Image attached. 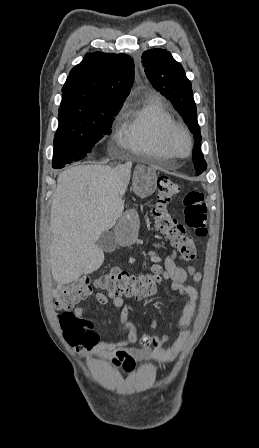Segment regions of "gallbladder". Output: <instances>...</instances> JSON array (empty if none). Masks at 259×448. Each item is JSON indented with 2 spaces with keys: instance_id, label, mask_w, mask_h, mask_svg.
I'll return each instance as SVG.
<instances>
[{
  "instance_id": "bac80fb5",
  "label": "gallbladder",
  "mask_w": 259,
  "mask_h": 448,
  "mask_svg": "<svg viewBox=\"0 0 259 448\" xmlns=\"http://www.w3.org/2000/svg\"><path fill=\"white\" fill-rule=\"evenodd\" d=\"M96 244L102 252H114L118 248L117 238L113 232H103Z\"/></svg>"
}]
</instances>
